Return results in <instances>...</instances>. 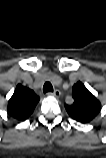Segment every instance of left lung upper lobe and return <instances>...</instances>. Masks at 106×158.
I'll list each match as a JSON object with an SVG mask.
<instances>
[{"mask_svg":"<svg viewBox=\"0 0 106 158\" xmlns=\"http://www.w3.org/2000/svg\"><path fill=\"white\" fill-rule=\"evenodd\" d=\"M73 104L64 105L71 118L88 123L93 120L101 110L99 100L93 96L82 82L76 83L72 88Z\"/></svg>","mask_w":106,"mask_h":158,"instance_id":"1","label":"left lung upper lobe"}]
</instances>
